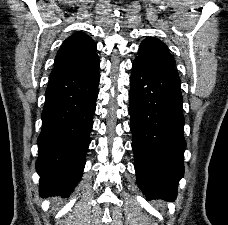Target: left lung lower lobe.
<instances>
[{"instance_id":"left-lung-lower-lobe-1","label":"left lung lower lobe","mask_w":228,"mask_h":225,"mask_svg":"<svg viewBox=\"0 0 228 225\" xmlns=\"http://www.w3.org/2000/svg\"><path fill=\"white\" fill-rule=\"evenodd\" d=\"M130 84V128L138 185L148 199L174 200L184 174L186 147L179 75L175 68L135 58Z\"/></svg>"}]
</instances>
